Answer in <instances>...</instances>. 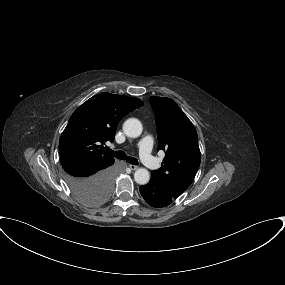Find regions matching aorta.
<instances>
[{
    "mask_svg": "<svg viewBox=\"0 0 285 285\" xmlns=\"http://www.w3.org/2000/svg\"><path fill=\"white\" fill-rule=\"evenodd\" d=\"M142 130V124L136 118H129L123 124V131L130 138L139 137ZM134 179L140 185L147 184L150 179L149 171L145 168H138L134 173Z\"/></svg>",
    "mask_w": 285,
    "mask_h": 285,
    "instance_id": "obj_1",
    "label": "aorta"
}]
</instances>
